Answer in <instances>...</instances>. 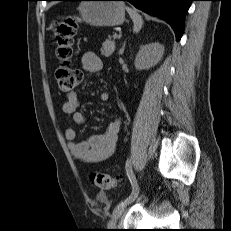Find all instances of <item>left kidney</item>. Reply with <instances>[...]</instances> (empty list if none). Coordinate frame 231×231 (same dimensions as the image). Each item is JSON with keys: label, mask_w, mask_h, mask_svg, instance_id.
I'll return each mask as SVG.
<instances>
[{"label": "left kidney", "mask_w": 231, "mask_h": 231, "mask_svg": "<svg viewBox=\"0 0 231 231\" xmlns=\"http://www.w3.org/2000/svg\"><path fill=\"white\" fill-rule=\"evenodd\" d=\"M164 46L159 42L142 46L135 58V67L138 70L149 69L155 66L163 57Z\"/></svg>", "instance_id": "obj_1"}]
</instances>
